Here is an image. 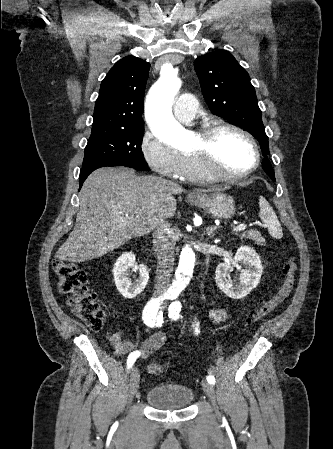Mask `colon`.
Masks as SVG:
<instances>
[{
	"instance_id": "obj_1",
	"label": "colon",
	"mask_w": 333,
	"mask_h": 449,
	"mask_svg": "<svg viewBox=\"0 0 333 449\" xmlns=\"http://www.w3.org/2000/svg\"><path fill=\"white\" fill-rule=\"evenodd\" d=\"M52 269L57 277L58 289L68 295V303L74 313L82 319L93 331L102 329L107 314L99 304L96 295L87 287V276L75 264L60 259L52 263ZM297 264L294 257H289L282 267L283 283L278 291L270 298L260 301V307L250 312L244 321L246 327L254 326L264 321L282 304L292 292L295 283ZM152 375H160L163 367L160 364L149 365Z\"/></svg>"
}]
</instances>
